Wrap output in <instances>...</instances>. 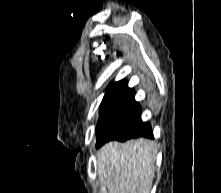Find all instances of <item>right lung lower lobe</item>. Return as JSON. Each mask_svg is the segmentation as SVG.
I'll list each match as a JSON object with an SVG mask.
<instances>
[{
	"label": "right lung lower lobe",
	"mask_w": 221,
	"mask_h": 193,
	"mask_svg": "<svg viewBox=\"0 0 221 193\" xmlns=\"http://www.w3.org/2000/svg\"><path fill=\"white\" fill-rule=\"evenodd\" d=\"M138 137H147V138H153V133L151 131V126L149 123H142L140 126H138L135 129H132L125 135L115 139L118 141H126L130 138H138Z\"/></svg>",
	"instance_id": "98d812e1"
}]
</instances>
